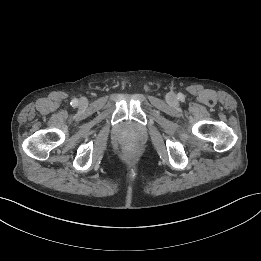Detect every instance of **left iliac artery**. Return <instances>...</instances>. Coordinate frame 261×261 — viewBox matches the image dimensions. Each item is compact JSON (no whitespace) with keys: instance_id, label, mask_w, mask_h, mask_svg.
I'll return each mask as SVG.
<instances>
[{"instance_id":"obj_1","label":"left iliac artery","mask_w":261,"mask_h":261,"mask_svg":"<svg viewBox=\"0 0 261 261\" xmlns=\"http://www.w3.org/2000/svg\"><path fill=\"white\" fill-rule=\"evenodd\" d=\"M179 98H180V99H182V98H183L182 94H180V95H179Z\"/></svg>"}]
</instances>
